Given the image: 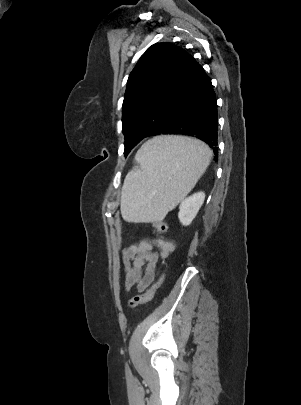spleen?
<instances>
[{
	"label": "spleen",
	"mask_w": 301,
	"mask_h": 405,
	"mask_svg": "<svg viewBox=\"0 0 301 405\" xmlns=\"http://www.w3.org/2000/svg\"><path fill=\"white\" fill-rule=\"evenodd\" d=\"M212 158L203 142L183 136H156L137 152L121 194L128 222L159 221L193 189Z\"/></svg>",
	"instance_id": "obj_1"
}]
</instances>
